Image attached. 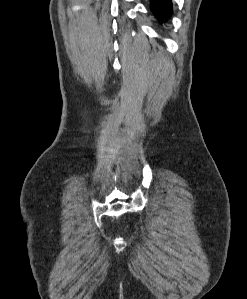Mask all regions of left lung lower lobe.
<instances>
[{
  "mask_svg": "<svg viewBox=\"0 0 247 299\" xmlns=\"http://www.w3.org/2000/svg\"><path fill=\"white\" fill-rule=\"evenodd\" d=\"M151 10L160 22H164L172 13V1L151 0Z\"/></svg>",
  "mask_w": 247,
  "mask_h": 299,
  "instance_id": "left-lung-lower-lobe-1",
  "label": "left lung lower lobe"
}]
</instances>
